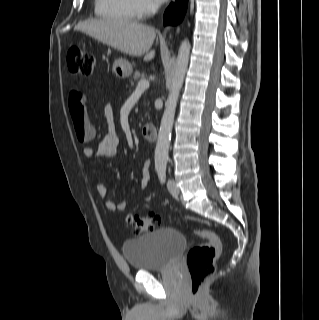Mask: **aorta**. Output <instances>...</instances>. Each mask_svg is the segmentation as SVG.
<instances>
[{
    "label": "aorta",
    "mask_w": 319,
    "mask_h": 320,
    "mask_svg": "<svg viewBox=\"0 0 319 320\" xmlns=\"http://www.w3.org/2000/svg\"><path fill=\"white\" fill-rule=\"evenodd\" d=\"M189 55L190 43L187 39H185L179 48L171 90L169 92L167 101L165 102V110L161 119L158 140L155 149V167H166L168 161V151L174 123L175 110L179 93L188 68Z\"/></svg>",
    "instance_id": "762f6f07"
}]
</instances>
